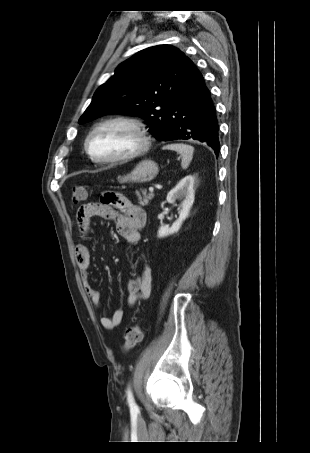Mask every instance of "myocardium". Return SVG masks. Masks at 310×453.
<instances>
[{"label": "myocardium", "instance_id": "f54148a6", "mask_svg": "<svg viewBox=\"0 0 310 453\" xmlns=\"http://www.w3.org/2000/svg\"><path fill=\"white\" fill-rule=\"evenodd\" d=\"M117 123L126 124L135 131L137 138L139 140L138 147L128 154L118 156V157H113V158L99 157V156L95 155L90 148V141H91V138L93 137V135L97 131L102 129L103 127L111 125V124H117ZM150 144H151L150 137L147 134L144 125L138 119H135L132 117H127V116H116V117H111V118L105 119V120L97 123L86 136V139L84 142V148H85V151L88 154V156L94 162L102 163V164H114V163L127 162V161L133 160V159L141 156L142 154H144L145 152L148 151Z\"/></svg>", "mask_w": 310, "mask_h": 453}]
</instances>
